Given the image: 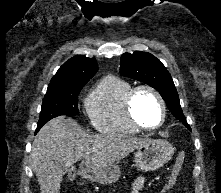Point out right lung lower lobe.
Listing matches in <instances>:
<instances>
[{
  "instance_id": "right-lung-lower-lobe-1",
  "label": "right lung lower lobe",
  "mask_w": 221,
  "mask_h": 193,
  "mask_svg": "<svg viewBox=\"0 0 221 193\" xmlns=\"http://www.w3.org/2000/svg\"><path fill=\"white\" fill-rule=\"evenodd\" d=\"M42 127V126H41ZM40 126H37V129H36V133L39 131V129L41 128Z\"/></svg>"
}]
</instances>
